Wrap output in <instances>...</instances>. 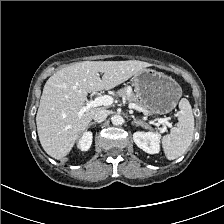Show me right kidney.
I'll return each mask as SVG.
<instances>
[{
  "instance_id": "ca27d5eb",
  "label": "right kidney",
  "mask_w": 224,
  "mask_h": 224,
  "mask_svg": "<svg viewBox=\"0 0 224 224\" xmlns=\"http://www.w3.org/2000/svg\"><path fill=\"white\" fill-rule=\"evenodd\" d=\"M92 132L90 131H86L83 133L82 137L79 139L77 147L81 150V151H87L92 144Z\"/></svg>"
}]
</instances>
